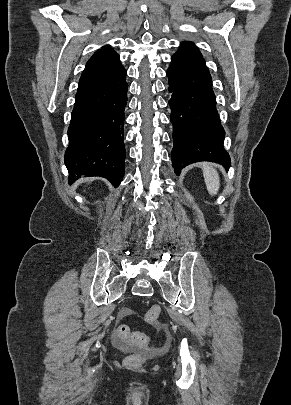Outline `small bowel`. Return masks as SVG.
Wrapping results in <instances>:
<instances>
[{"instance_id": "1", "label": "small bowel", "mask_w": 291, "mask_h": 405, "mask_svg": "<svg viewBox=\"0 0 291 405\" xmlns=\"http://www.w3.org/2000/svg\"><path fill=\"white\" fill-rule=\"evenodd\" d=\"M131 311L129 309H123L120 313V317L121 318H127L129 316H131Z\"/></svg>"}]
</instances>
